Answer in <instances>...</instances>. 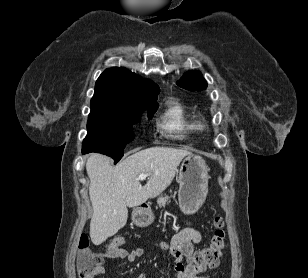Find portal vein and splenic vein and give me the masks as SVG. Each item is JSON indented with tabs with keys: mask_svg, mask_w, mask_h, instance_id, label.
Returning <instances> with one entry per match:
<instances>
[{
	"mask_svg": "<svg viewBox=\"0 0 308 278\" xmlns=\"http://www.w3.org/2000/svg\"><path fill=\"white\" fill-rule=\"evenodd\" d=\"M148 175L149 174L141 173V174H139L138 178L142 180V179H145Z\"/></svg>",
	"mask_w": 308,
	"mask_h": 278,
	"instance_id": "1",
	"label": "portal vein and splenic vein"
}]
</instances>
